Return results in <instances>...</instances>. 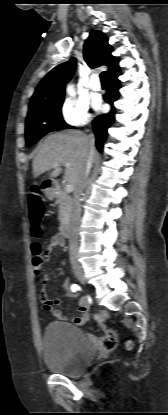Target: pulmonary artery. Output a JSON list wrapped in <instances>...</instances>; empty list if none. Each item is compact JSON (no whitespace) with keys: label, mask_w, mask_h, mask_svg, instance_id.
Masks as SVG:
<instances>
[{"label":"pulmonary artery","mask_w":168,"mask_h":415,"mask_svg":"<svg viewBox=\"0 0 168 415\" xmlns=\"http://www.w3.org/2000/svg\"><path fill=\"white\" fill-rule=\"evenodd\" d=\"M90 87L93 91H100L101 90V83L99 80V77L97 75H93L91 82H90Z\"/></svg>","instance_id":"obj_1"}]
</instances>
